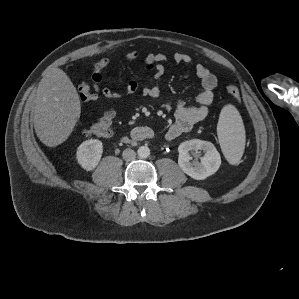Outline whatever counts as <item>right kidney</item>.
<instances>
[{
	"label": "right kidney",
	"mask_w": 299,
	"mask_h": 299,
	"mask_svg": "<svg viewBox=\"0 0 299 299\" xmlns=\"http://www.w3.org/2000/svg\"><path fill=\"white\" fill-rule=\"evenodd\" d=\"M103 152V144L97 139L86 140L80 144L76 152L78 164L86 171H91L98 165Z\"/></svg>",
	"instance_id": "right-kidney-1"
}]
</instances>
